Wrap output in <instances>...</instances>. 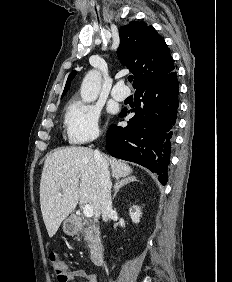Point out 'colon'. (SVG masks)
Masks as SVG:
<instances>
[{"label": "colon", "instance_id": "colon-1", "mask_svg": "<svg viewBox=\"0 0 232 282\" xmlns=\"http://www.w3.org/2000/svg\"><path fill=\"white\" fill-rule=\"evenodd\" d=\"M49 262L54 275L60 281H65L67 278L66 267L61 258L54 252L49 254Z\"/></svg>", "mask_w": 232, "mask_h": 282}]
</instances>
